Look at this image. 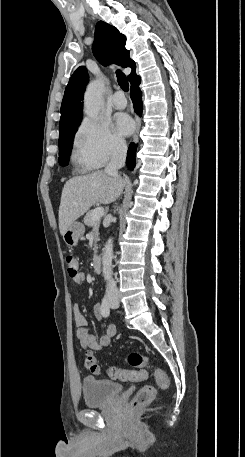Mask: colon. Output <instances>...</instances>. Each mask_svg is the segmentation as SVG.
Masks as SVG:
<instances>
[{
    "instance_id": "obj_1",
    "label": "colon",
    "mask_w": 245,
    "mask_h": 457,
    "mask_svg": "<svg viewBox=\"0 0 245 457\" xmlns=\"http://www.w3.org/2000/svg\"><path fill=\"white\" fill-rule=\"evenodd\" d=\"M68 274L71 278L75 277L78 272L77 259L69 255L66 257ZM128 361L131 366L135 369L124 370L116 367H110L108 373L111 377L120 379L123 381H143L148 377L147 369H153L155 379L161 388H165L168 385V377L165 372L153 365V363L145 356L138 353H132L129 355ZM83 366L91 374H99L100 367L94 354L91 351H86L83 355ZM156 390L151 385L143 386L139 389L136 395L130 401V408L135 410L146 406L155 398Z\"/></svg>"
}]
</instances>
